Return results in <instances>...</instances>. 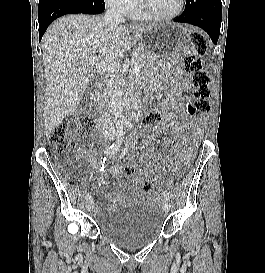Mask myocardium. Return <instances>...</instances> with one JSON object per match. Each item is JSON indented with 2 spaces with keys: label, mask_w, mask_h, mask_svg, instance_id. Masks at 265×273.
I'll return each instance as SVG.
<instances>
[{
  "label": "myocardium",
  "mask_w": 265,
  "mask_h": 273,
  "mask_svg": "<svg viewBox=\"0 0 265 273\" xmlns=\"http://www.w3.org/2000/svg\"><path fill=\"white\" fill-rule=\"evenodd\" d=\"M139 6L143 15L145 16L147 20L156 21V22H164V21L173 20L177 18L178 16H180L185 9L186 0H180V5L178 9L169 15H156L151 13L146 5V0H139Z\"/></svg>",
  "instance_id": "obj_1"
}]
</instances>
